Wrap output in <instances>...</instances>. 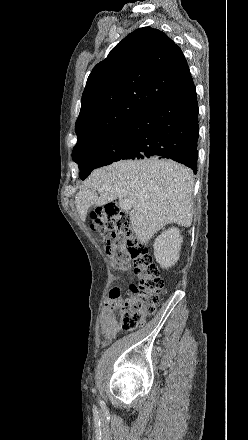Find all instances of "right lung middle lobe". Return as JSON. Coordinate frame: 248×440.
Segmentation results:
<instances>
[{
	"instance_id": "dd1d6c3e",
	"label": "right lung middle lobe",
	"mask_w": 248,
	"mask_h": 440,
	"mask_svg": "<svg viewBox=\"0 0 248 440\" xmlns=\"http://www.w3.org/2000/svg\"><path fill=\"white\" fill-rule=\"evenodd\" d=\"M130 143L127 125L73 150L72 159L78 163L79 176L84 180L93 169L119 161Z\"/></svg>"
}]
</instances>
